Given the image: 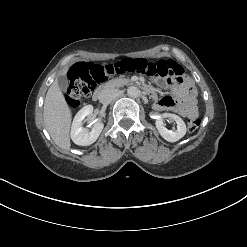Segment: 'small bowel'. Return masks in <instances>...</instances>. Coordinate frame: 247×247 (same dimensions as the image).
<instances>
[{
	"mask_svg": "<svg viewBox=\"0 0 247 247\" xmlns=\"http://www.w3.org/2000/svg\"><path fill=\"white\" fill-rule=\"evenodd\" d=\"M138 72L171 91V96L157 100L154 105L156 110L172 111L186 118L197 116L194 88L178 63L172 60H146L145 66ZM152 96H156L155 91H152Z\"/></svg>",
	"mask_w": 247,
	"mask_h": 247,
	"instance_id": "1",
	"label": "small bowel"
}]
</instances>
